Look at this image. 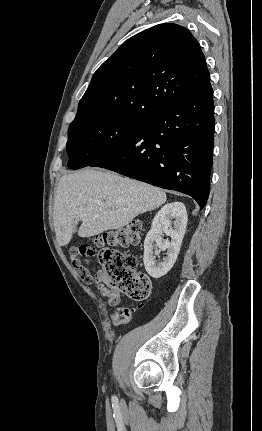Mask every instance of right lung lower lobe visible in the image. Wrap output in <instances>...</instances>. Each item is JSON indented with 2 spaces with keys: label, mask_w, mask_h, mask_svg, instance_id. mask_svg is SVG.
Returning a JSON list of instances; mask_svg holds the SVG:
<instances>
[{
  "label": "right lung lower lobe",
  "mask_w": 262,
  "mask_h": 431,
  "mask_svg": "<svg viewBox=\"0 0 262 431\" xmlns=\"http://www.w3.org/2000/svg\"><path fill=\"white\" fill-rule=\"evenodd\" d=\"M213 90L142 119L123 143L89 166L193 197L202 209L209 195L214 140Z\"/></svg>",
  "instance_id": "1"
}]
</instances>
